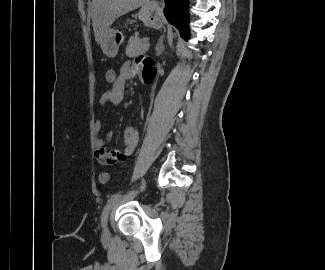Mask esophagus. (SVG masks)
<instances>
[{
  "mask_svg": "<svg viewBox=\"0 0 325 270\" xmlns=\"http://www.w3.org/2000/svg\"><path fill=\"white\" fill-rule=\"evenodd\" d=\"M153 5H155V6H162V3L159 2V1L154 0L153 1Z\"/></svg>",
  "mask_w": 325,
  "mask_h": 270,
  "instance_id": "1",
  "label": "esophagus"
}]
</instances>
